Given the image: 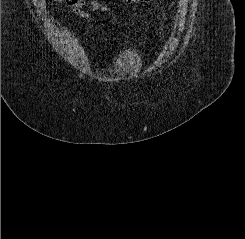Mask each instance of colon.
<instances>
[{
  "instance_id": "5ec220e1",
  "label": "colon",
  "mask_w": 245,
  "mask_h": 239,
  "mask_svg": "<svg viewBox=\"0 0 245 239\" xmlns=\"http://www.w3.org/2000/svg\"><path fill=\"white\" fill-rule=\"evenodd\" d=\"M58 1H65L67 4H71L75 2V0H58ZM151 1L152 0H122V2L125 4H134V3H139V2L149 3Z\"/></svg>"
}]
</instances>
